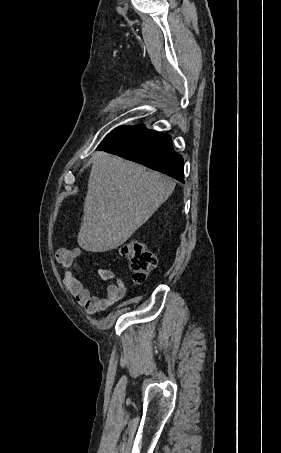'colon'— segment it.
<instances>
[{"instance_id": "colon-1", "label": "colon", "mask_w": 281, "mask_h": 453, "mask_svg": "<svg viewBox=\"0 0 281 453\" xmlns=\"http://www.w3.org/2000/svg\"><path fill=\"white\" fill-rule=\"evenodd\" d=\"M120 255L128 262L129 270L134 280L144 281L149 272L158 265L157 257L144 243L136 239H129L117 247Z\"/></svg>"}]
</instances>
